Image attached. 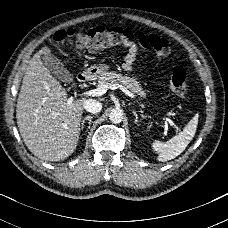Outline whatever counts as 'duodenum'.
Returning a JSON list of instances; mask_svg holds the SVG:
<instances>
[{"label":"duodenum","instance_id":"obj_1","mask_svg":"<svg viewBox=\"0 0 228 228\" xmlns=\"http://www.w3.org/2000/svg\"><path fill=\"white\" fill-rule=\"evenodd\" d=\"M91 77V72L90 71H84V72H80L78 73L77 77H76V81L78 83H84L86 81H88Z\"/></svg>","mask_w":228,"mask_h":228}]
</instances>
